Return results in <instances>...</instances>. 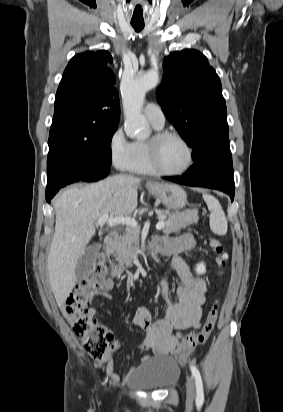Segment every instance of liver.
I'll list each match as a JSON object with an SVG mask.
<instances>
[{
  "instance_id": "6515ba94",
  "label": "liver",
  "mask_w": 283,
  "mask_h": 412,
  "mask_svg": "<svg viewBox=\"0 0 283 412\" xmlns=\"http://www.w3.org/2000/svg\"><path fill=\"white\" fill-rule=\"evenodd\" d=\"M141 179L116 175L95 184L70 187L54 201L55 232L47 269L52 292L62 309L76 283L78 260L88 250L97 220L130 215L137 207V186Z\"/></svg>"
}]
</instances>
